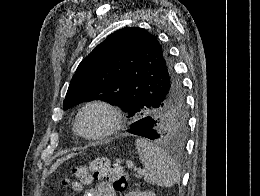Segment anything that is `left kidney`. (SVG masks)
<instances>
[{"label":"left kidney","instance_id":"left-kidney-1","mask_svg":"<svg viewBox=\"0 0 260 196\" xmlns=\"http://www.w3.org/2000/svg\"><path fill=\"white\" fill-rule=\"evenodd\" d=\"M126 196H156L154 192H139V190H134V192H129Z\"/></svg>","mask_w":260,"mask_h":196}]
</instances>
